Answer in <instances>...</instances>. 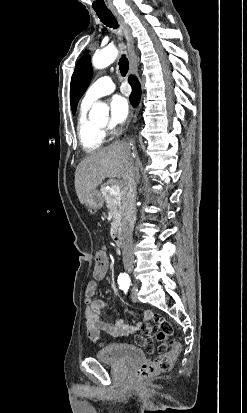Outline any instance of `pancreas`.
I'll use <instances>...</instances> for the list:
<instances>
[{"label":"pancreas","instance_id":"cf45deb5","mask_svg":"<svg viewBox=\"0 0 247 413\" xmlns=\"http://www.w3.org/2000/svg\"><path fill=\"white\" fill-rule=\"evenodd\" d=\"M101 194L106 202V207L110 209L113 215L112 229H116L121 225L122 207L120 194H110V190L105 188V184L101 186Z\"/></svg>","mask_w":247,"mask_h":413}]
</instances>
